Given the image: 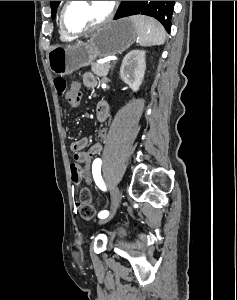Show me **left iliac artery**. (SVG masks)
<instances>
[{"mask_svg":"<svg viewBox=\"0 0 237 300\" xmlns=\"http://www.w3.org/2000/svg\"><path fill=\"white\" fill-rule=\"evenodd\" d=\"M101 164H102L101 159H99V158L95 159L94 162H93V165H92V173H93V178H94V181H95L96 185L101 190L106 191V186H105V183H104V181L102 179V176H101ZM108 215H109V212L104 210V211H101L98 214V217L101 218V219H104Z\"/></svg>","mask_w":237,"mask_h":300,"instance_id":"left-iliac-artery-1","label":"left iliac artery"}]
</instances>
